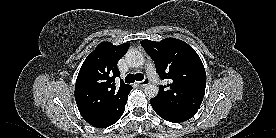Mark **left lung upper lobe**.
Returning <instances> with one entry per match:
<instances>
[{
    "mask_svg": "<svg viewBox=\"0 0 276 138\" xmlns=\"http://www.w3.org/2000/svg\"><path fill=\"white\" fill-rule=\"evenodd\" d=\"M140 43L154 60L160 78L170 81L167 86H160L159 94L152 100L176 112L195 115L206 87V72L195 50L175 38Z\"/></svg>",
    "mask_w": 276,
    "mask_h": 138,
    "instance_id": "1",
    "label": "left lung upper lobe"
}]
</instances>
